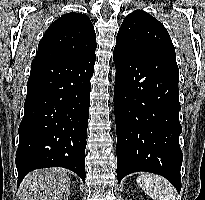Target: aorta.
<instances>
[{
  "label": "aorta",
  "mask_w": 205,
  "mask_h": 200,
  "mask_svg": "<svg viewBox=\"0 0 205 200\" xmlns=\"http://www.w3.org/2000/svg\"><path fill=\"white\" fill-rule=\"evenodd\" d=\"M112 75H113V76H115V70H114V71H112Z\"/></svg>",
  "instance_id": "aorta-1"
}]
</instances>
